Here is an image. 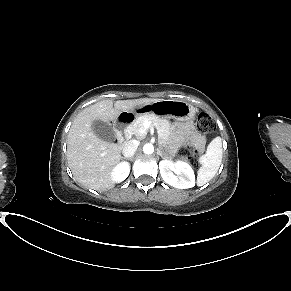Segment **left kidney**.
<instances>
[{
    "label": "left kidney",
    "instance_id": "1",
    "mask_svg": "<svg viewBox=\"0 0 291 291\" xmlns=\"http://www.w3.org/2000/svg\"><path fill=\"white\" fill-rule=\"evenodd\" d=\"M159 170L162 179L170 186L179 189H188L195 186L194 171L186 162H173L165 159L159 162Z\"/></svg>",
    "mask_w": 291,
    "mask_h": 291
}]
</instances>
